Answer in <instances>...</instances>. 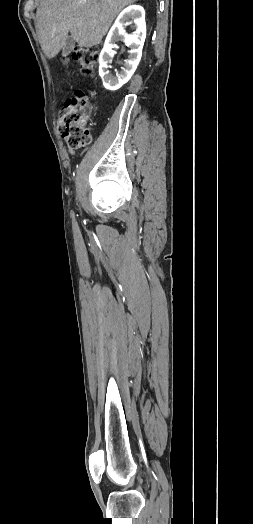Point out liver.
<instances>
[{
	"label": "liver",
	"instance_id": "obj_1",
	"mask_svg": "<svg viewBox=\"0 0 253 524\" xmlns=\"http://www.w3.org/2000/svg\"><path fill=\"white\" fill-rule=\"evenodd\" d=\"M137 1L39 0L36 18L43 52L55 57L69 33L80 47L98 45L118 13Z\"/></svg>",
	"mask_w": 253,
	"mask_h": 524
}]
</instances>
